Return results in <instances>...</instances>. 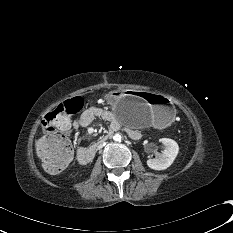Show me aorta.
Listing matches in <instances>:
<instances>
[{
	"label": "aorta",
	"instance_id": "1",
	"mask_svg": "<svg viewBox=\"0 0 233 233\" xmlns=\"http://www.w3.org/2000/svg\"><path fill=\"white\" fill-rule=\"evenodd\" d=\"M113 139L115 140V141H117V142H119V141H121L122 140V136L120 135V134H115L114 136H113Z\"/></svg>",
	"mask_w": 233,
	"mask_h": 233
}]
</instances>
